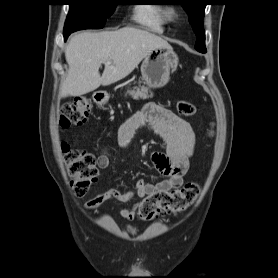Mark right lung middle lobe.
Here are the masks:
<instances>
[{
  "label": "right lung middle lobe",
  "instance_id": "obj_1",
  "mask_svg": "<svg viewBox=\"0 0 278 278\" xmlns=\"http://www.w3.org/2000/svg\"><path fill=\"white\" fill-rule=\"evenodd\" d=\"M70 6L64 34H70L81 29L103 28L106 19L110 17L118 0H67Z\"/></svg>",
  "mask_w": 278,
  "mask_h": 278
}]
</instances>
